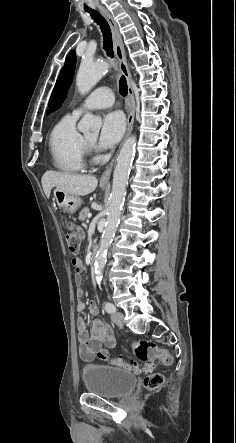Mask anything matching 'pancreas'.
Masks as SVG:
<instances>
[{"instance_id":"1","label":"pancreas","mask_w":236,"mask_h":443,"mask_svg":"<svg viewBox=\"0 0 236 443\" xmlns=\"http://www.w3.org/2000/svg\"><path fill=\"white\" fill-rule=\"evenodd\" d=\"M90 213V210L88 207H85L81 210V212L79 213V220L80 221H85L87 219V215Z\"/></svg>"}]
</instances>
